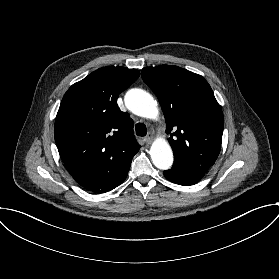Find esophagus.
<instances>
[{
	"label": "esophagus",
	"instance_id": "obj_1",
	"mask_svg": "<svg viewBox=\"0 0 279 279\" xmlns=\"http://www.w3.org/2000/svg\"><path fill=\"white\" fill-rule=\"evenodd\" d=\"M145 143L146 144H151L153 141V134L152 133H148V135L145 137Z\"/></svg>",
	"mask_w": 279,
	"mask_h": 279
}]
</instances>
